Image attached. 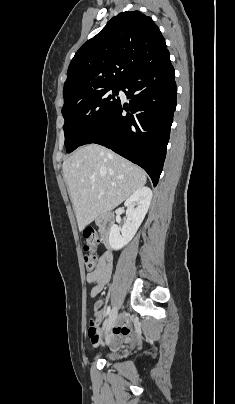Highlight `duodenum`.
Masks as SVG:
<instances>
[{
    "label": "duodenum",
    "instance_id": "obj_1",
    "mask_svg": "<svg viewBox=\"0 0 235 404\" xmlns=\"http://www.w3.org/2000/svg\"><path fill=\"white\" fill-rule=\"evenodd\" d=\"M98 226L100 229V233L106 243L110 242V234H111V229L113 225V217L111 214L106 213L104 215H101L98 219Z\"/></svg>",
    "mask_w": 235,
    "mask_h": 404
}]
</instances>
